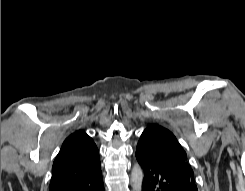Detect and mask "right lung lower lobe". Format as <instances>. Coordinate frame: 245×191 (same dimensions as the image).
<instances>
[{
    "label": "right lung lower lobe",
    "instance_id": "98d812e1",
    "mask_svg": "<svg viewBox=\"0 0 245 191\" xmlns=\"http://www.w3.org/2000/svg\"><path fill=\"white\" fill-rule=\"evenodd\" d=\"M61 191H104L101 169L88 178L64 187Z\"/></svg>",
    "mask_w": 245,
    "mask_h": 191
}]
</instances>
